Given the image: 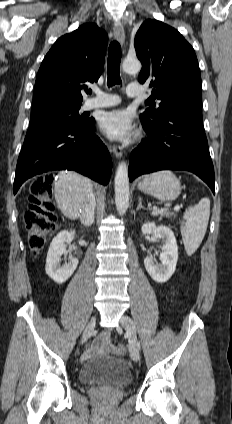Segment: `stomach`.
Wrapping results in <instances>:
<instances>
[{"mask_svg":"<svg viewBox=\"0 0 232 424\" xmlns=\"http://www.w3.org/2000/svg\"><path fill=\"white\" fill-rule=\"evenodd\" d=\"M138 189L161 201H173L181 192L177 177L168 170L147 175L138 183Z\"/></svg>","mask_w":232,"mask_h":424,"instance_id":"stomach-1","label":"stomach"}]
</instances>
